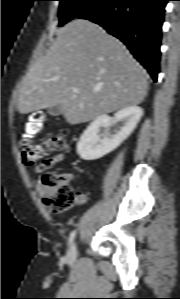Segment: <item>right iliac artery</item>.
I'll return each mask as SVG.
<instances>
[{"instance_id": "right-iliac-artery-1", "label": "right iliac artery", "mask_w": 180, "mask_h": 299, "mask_svg": "<svg viewBox=\"0 0 180 299\" xmlns=\"http://www.w3.org/2000/svg\"><path fill=\"white\" fill-rule=\"evenodd\" d=\"M75 238V231H72L69 236L68 244L71 245Z\"/></svg>"}]
</instances>
